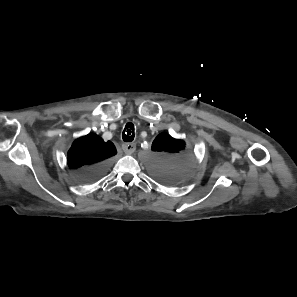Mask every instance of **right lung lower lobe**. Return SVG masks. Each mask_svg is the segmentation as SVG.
Wrapping results in <instances>:
<instances>
[{"instance_id":"98d812e1","label":"right lung lower lobe","mask_w":297,"mask_h":297,"mask_svg":"<svg viewBox=\"0 0 297 297\" xmlns=\"http://www.w3.org/2000/svg\"><path fill=\"white\" fill-rule=\"evenodd\" d=\"M107 168L108 163L102 162L78 172L77 178L82 183L92 182L100 178L106 172Z\"/></svg>"}]
</instances>
